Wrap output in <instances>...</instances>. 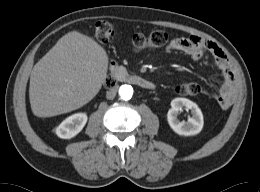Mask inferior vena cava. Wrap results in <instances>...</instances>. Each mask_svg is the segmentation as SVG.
I'll return each instance as SVG.
<instances>
[{"label":"inferior vena cava","mask_w":260,"mask_h":192,"mask_svg":"<svg viewBox=\"0 0 260 192\" xmlns=\"http://www.w3.org/2000/svg\"><path fill=\"white\" fill-rule=\"evenodd\" d=\"M116 92H117L116 89H114V88L110 89L106 93V98L107 99H113L115 97V95H116Z\"/></svg>","instance_id":"602c4592"}]
</instances>
